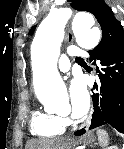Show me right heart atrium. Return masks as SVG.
Here are the masks:
<instances>
[{
	"mask_svg": "<svg viewBox=\"0 0 124 149\" xmlns=\"http://www.w3.org/2000/svg\"><path fill=\"white\" fill-rule=\"evenodd\" d=\"M63 122L66 124L68 120L66 118H62Z\"/></svg>",
	"mask_w": 124,
	"mask_h": 149,
	"instance_id": "right-heart-atrium-1",
	"label": "right heart atrium"
}]
</instances>
